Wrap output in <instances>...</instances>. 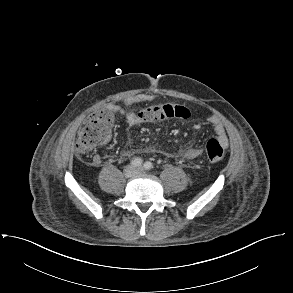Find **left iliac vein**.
Segmentation results:
<instances>
[{
    "instance_id": "1",
    "label": "left iliac vein",
    "mask_w": 293,
    "mask_h": 293,
    "mask_svg": "<svg viewBox=\"0 0 293 293\" xmlns=\"http://www.w3.org/2000/svg\"><path fill=\"white\" fill-rule=\"evenodd\" d=\"M142 172V169L141 168H138L137 169V173H141Z\"/></svg>"
}]
</instances>
